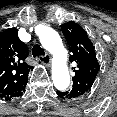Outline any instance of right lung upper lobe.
<instances>
[{"instance_id": "1", "label": "right lung upper lobe", "mask_w": 117, "mask_h": 117, "mask_svg": "<svg viewBox=\"0 0 117 117\" xmlns=\"http://www.w3.org/2000/svg\"><path fill=\"white\" fill-rule=\"evenodd\" d=\"M28 48L16 28L0 33V97L11 100L22 96L32 68L26 63Z\"/></svg>"}]
</instances>
